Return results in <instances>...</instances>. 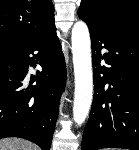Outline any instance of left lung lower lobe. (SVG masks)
<instances>
[{
  "label": "left lung lower lobe",
  "mask_w": 139,
  "mask_h": 150,
  "mask_svg": "<svg viewBox=\"0 0 139 150\" xmlns=\"http://www.w3.org/2000/svg\"><path fill=\"white\" fill-rule=\"evenodd\" d=\"M87 25L94 96L81 150H139V19L107 32Z\"/></svg>",
  "instance_id": "left-lung-lower-lobe-1"
}]
</instances>
